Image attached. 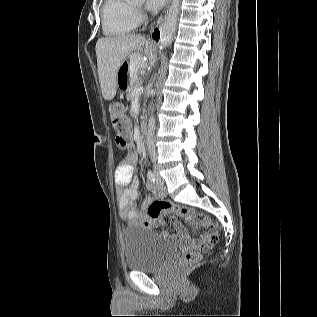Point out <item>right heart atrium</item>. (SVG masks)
Returning a JSON list of instances; mask_svg holds the SVG:
<instances>
[{"label":"right heart atrium","mask_w":317,"mask_h":317,"mask_svg":"<svg viewBox=\"0 0 317 317\" xmlns=\"http://www.w3.org/2000/svg\"><path fill=\"white\" fill-rule=\"evenodd\" d=\"M143 14L141 10H137V17L140 20L142 18Z\"/></svg>","instance_id":"1"}]
</instances>
